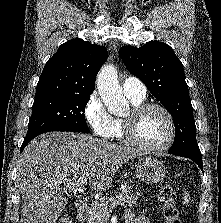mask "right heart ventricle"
<instances>
[{
	"mask_svg": "<svg viewBox=\"0 0 221 223\" xmlns=\"http://www.w3.org/2000/svg\"><path fill=\"white\" fill-rule=\"evenodd\" d=\"M130 101L136 105L145 102V97L144 98H132L128 97ZM114 125H115V130H114V137L118 140L123 139V124L122 120L120 118L114 119Z\"/></svg>",
	"mask_w": 221,
	"mask_h": 223,
	"instance_id": "e07e8e85",
	"label": "right heart ventricle"
}]
</instances>
